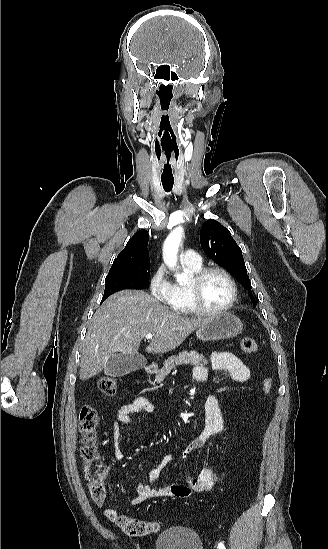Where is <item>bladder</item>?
<instances>
[{
	"label": "bladder",
	"mask_w": 328,
	"mask_h": 549,
	"mask_svg": "<svg viewBox=\"0 0 328 549\" xmlns=\"http://www.w3.org/2000/svg\"><path fill=\"white\" fill-rule=\"evenodd\" d=\"M190 530L181 527L171 528L158 535L156 549H201L200 536L196 532L189 536Z\"/></svg>",
	"instance_id": "bladder-1"
}]
</instances>
